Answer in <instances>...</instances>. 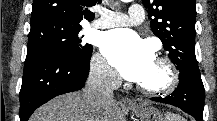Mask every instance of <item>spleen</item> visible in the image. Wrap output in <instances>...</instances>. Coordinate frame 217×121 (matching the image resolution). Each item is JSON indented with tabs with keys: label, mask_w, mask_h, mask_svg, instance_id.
<instances>
[{
	"label": "spleen",
	"mask_w": 217,
	"mask_h": 121,
	"mask_svg": "<svg viewBox=\"0 0 217 121\" xmlns=\"http://www.w3.org/2000/svg\"><path fill=\"white\" fill-rule=\"evenodd\" d=\"M166 121H184V119L178 115L168 113L166 115Z\"/></svg>",
	"instance_id": "obj_1"
}]
</instances>
